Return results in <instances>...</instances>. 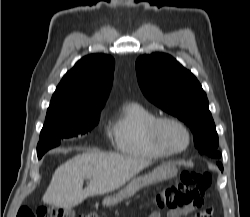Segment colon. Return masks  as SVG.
<instances>
[{
    "mask_svg": "<svg viewBox=\"0 0 250 217\" xmlns=\"http://www.w3.org/2000/svg\"><path fill=\"white\" fill-rule=\"evenodd\" d=\"M211 175L203 171H183L177 182L167 186L155 199L158 207L170 211L187 207L199 208V213L211 209L203 208L202 197L211 185ZM16 217H99L97 213H87L76 216L69 210L62 208H40L33 211L28 207H21Z\"/></svg>",
    "mask_w": 250,
    "mask_h": 217,
    "instance_id": "1",
    "label": "colon"
}]
</instances>
